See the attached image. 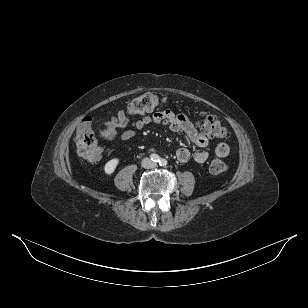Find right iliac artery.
Returning <instances> with one entry per match:
<instances>
[{
    "mask_svg": "<svg viewBox=\"0 0 308 308\" xmlns=\"http://www.w3.org/2000/svg\"><path fill=\"white\" fill-rule=\"evenodd\" d=\"M150 159L154 162H160V157L157 154H151Z\"/></svg>",
    "mask_w": 308,
    "mask_h": 308,
    "instance_id": "1",
    "label": "right iliac artery"
}]
</instances>
